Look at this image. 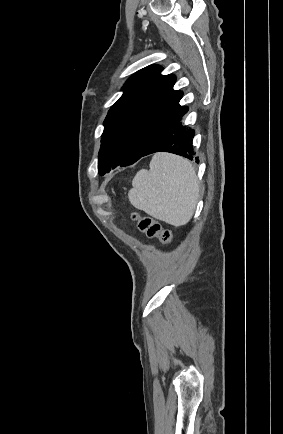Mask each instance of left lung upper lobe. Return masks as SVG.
<instances>
[{
  "instance_id": "left-lung-upper-lobe-1",
  "label": "left lung upper lobe",
  "mask_w": 283,
  "mask_h": 434,
  "mask_svg": "<svg viewBox=\"0 0 283 434\" xmlns=\"http://www.w3.org/2000/svg\"><path fill=\"white\" fill-rule=\"evenodd\" d=\"M160 65H151L124 84L123 95L112 105L104 121L98 155L100 175L120 164L135 163L158 131L180 107L181 91L173 90L176 77L161 75Z\"/></svg>"
}]
</instances>
